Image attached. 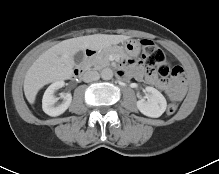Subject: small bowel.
<instances>
[{
    "label": "small bowel",
    "instance_id": "obj_1",
    "mask_svg": "<svg viewBox=\"0 0 219 174\" xmlns=\"http://www.w3.org/2000/svg\"><path fill=\"white\" fill-rule=\"evenodd\" d=\"M118 73L120 75L133 74L138 79H141L144 74L142 68L134 65L133 62L130 60L119 68ZM145 79L148 83L163 88V94L166 97H170L174 101H180L185 94L186 82L184 80L180 81L176 78H172L171 81L160 80L152 72H147L145 74Z\"/></svg>",
    "mask_w": 219,
    "mask_h": 174
}]
</instances>
